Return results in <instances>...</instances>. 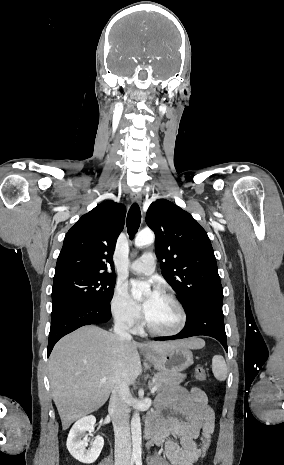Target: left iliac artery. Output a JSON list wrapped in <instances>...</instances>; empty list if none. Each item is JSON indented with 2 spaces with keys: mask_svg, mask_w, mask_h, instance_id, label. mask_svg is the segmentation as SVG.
Instances as JSON below:
<instances>
[{
  "mask_svg": "<svg viewBox=\"0 0 284 465\" xmlns=\"http://www.w3.org/2000/svg\"><path fill=\"white\" fill-rule=\"evenodd\" d=\"M136 465H142V460H141V459H137V460H136Z\"/></svg>",
  "mask_w": 284,
  "mask_h": 465,
  "instance_id": "left-iliac-artery-1",
  "label": "left iliac artery"
}]
</instances>
